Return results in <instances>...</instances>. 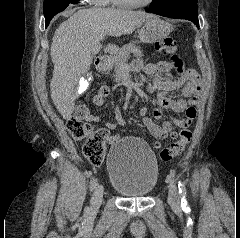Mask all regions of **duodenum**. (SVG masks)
Wrapping results in <instances>:
<instances>
[{
  "instance_id": "1",
  "label": "duodenum",
  "mask_w": 240,
  "mask_h": 238,
  "mask_svg": "<svg viewBox=\"0 0 240 238\" xmlns=\"http://www.w3.org/2000/svg\"><path fill=\"white\" fill-rule=\"evenodd\" d=\"M95 65L100 73L107 74L109 72V61L106 58H97Z\"/></svg>"
}]
</instances>
